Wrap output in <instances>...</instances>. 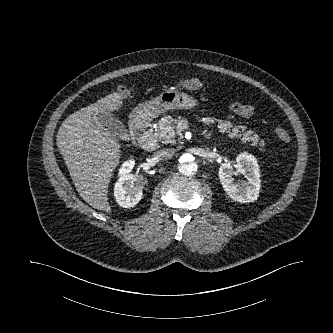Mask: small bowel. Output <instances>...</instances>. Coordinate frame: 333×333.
<instances>
[{
    "label": "small bowel",
    "mask_w": 333,
    "mask_h": 333,
    "mask_svg": "<svg viewBox=\"0 0 333 333\" xmlns=\"http://www.w3.org/2000/svg\"><path fill=\"white\" fill-rule=\"evenodd\" d=\"M231 110L241 117H249L253 113V108L249 105L235 102L231 105Z\"/></svg>",
    "instance_id": "c3829d8e"
}]
</instances>
